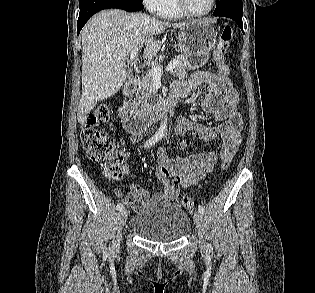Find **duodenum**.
Returning a JSON list of instances; mask_svg holds the SVG:
<instances>
[{
  "label": "duodenum",
  "mask_w": 315,
  "mask_h": 293,
  "mask_svg": "<svg viewBox=\"0 0 315 293\" xmlns=\"http://www.w3.org/2000/svg\"><path fill=\"white\" fill-rule=\"evenodd\" d=\"M137 82L131 81L123 90L124 99L130 98L136 90ZM178 102V95L174 92L164 100H161L143 112L131 110L126 103L119 107V116L123 121L127 132L131 134H140L144 132L151 124L163 118L168 114Z\"/></svg>",
  "instance_id": "410a0bca"
}]
</instances>
